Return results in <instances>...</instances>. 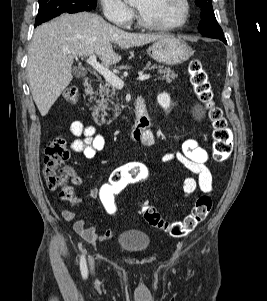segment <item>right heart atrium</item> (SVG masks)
Instances as JSON below:
<instances>
[{"label":"right heart atrium","instance_id":"d8ad5b80","mask_svg":"<svg viewBox=\"0 0 267 301\" xmlns=\"http://www.w3.org/2000/svg\"><path fill=\"white\" fill-rule=\"evenodd\" d=\"M104 16L120 27L126 28L133 19V11L122 0H100Z\"/></svg>","mask_w":267,"mask_h":301}]
</instances>
